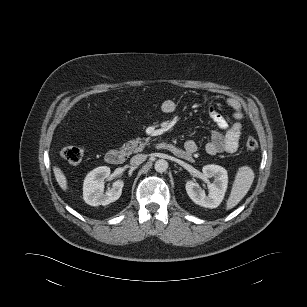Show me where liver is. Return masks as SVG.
<instances>
[{"label":"liver","mask_w":307,"mask_h":307,"mask_svg":"<svg viewBox=\"0 0 307 307\" xmlns=\"http://www.w3.org/2000/svg\"><path fill=\"white\" fill-rule=\"evenodd\" d=\"M53 172H54L56 181L59 184V186L61 187V189L63 191H66L68 189V185H67L68 183H67V178L64 175L63 171L59 167L54 166Z\"/></svg>","instance_id":"6515ba94"}]
</instances>
